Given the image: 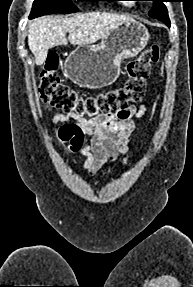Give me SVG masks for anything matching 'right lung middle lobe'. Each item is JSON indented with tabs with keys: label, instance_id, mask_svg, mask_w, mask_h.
<instances>
[{
	"label": "right lung middle lobe",
	"instance_id": "right-lung-middle-lobe-1",
	"mask_svg": "<svg viewBox=\"0 0 193 287\" xmlns=\"http://www.w3.org/2000/svg\"><path fill=\"white\" fill-rule=\"evenodd\" d=\"M77 1H102V0H77ZM78 8L71 0H35L32 6L30 18L52 13H73Z\"/></svg>",
	"mask_w": 193,
	"mask_h": 287
}]
</instances>
